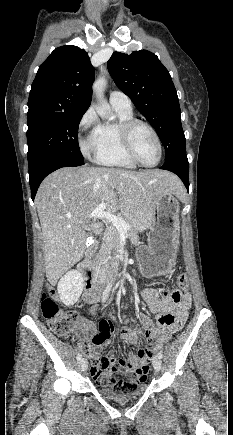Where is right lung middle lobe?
Instances as JSON below:
<instances>
[{"label": "right lung middle lobe", "mask_w": 233, "mask_h": 435, "mask_svg": "<svg viewBox=\"0 0 233 435\" xmlns=\"http://www.w3.org/2000/svg\"><path fill=\"white\" fill-rule=\"evenodd\" d=\"M84 113H43L28 117V162L45 155H60L84 162L78 127Z\"/></svg>", "instance_id": "1"}]
</instances>
